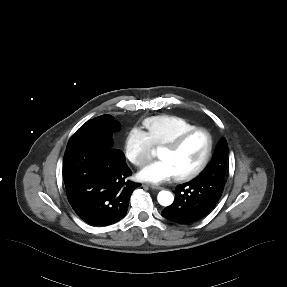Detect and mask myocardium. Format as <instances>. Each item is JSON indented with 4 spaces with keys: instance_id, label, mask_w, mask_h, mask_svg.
Here are the masks:
<instances>
[{
    "instance_id": "1",
    "label": "myocardium",
    "mask_w": 287,
    "mask_h": 287,
    "mask_svg": "<svg viewBox=\"0 0 287 287\" xmlns=\"http://www.w3.org/2000/svg\"><path fill=\"white\" fill-rule=\"evenodd\" d=\"M197 133H204L207 138V149L205 152V155L202 159V161L191 171L176 176L175 179L178 181H188L192 180L195 177H197L199 174H201L204 169L209 164V161L212 157L213 149H214V140L211 132L203 127H195L189 131H186L182 135H180L178 138L174 139L173 141L166 143L163 145L164 149L170 150V151H177L179 150L192 136H194Z\"/></svg>"
}]
</instances>
